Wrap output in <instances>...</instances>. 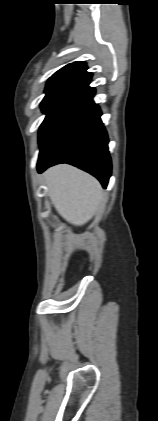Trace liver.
Instances as JSON below:
<instances>
[{
  "label": "liver",
  "instance_id": "1",
  "mask_svg": "<svg viewBox=\"0 0 158 421\" xmlns=\"http://www.w3.org/2000/svg\"><path fill=\"white\" fill-rule=\"evenodd\" d=\"M44 179L53 206L73 225L87 223L104 199L100 183L70 165L61 164L48 169Z\"/></svg>",
  "mask_w": 158,
  "mask_h": 421
}]
</instances>
